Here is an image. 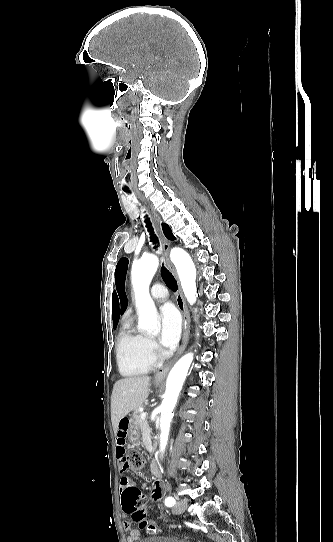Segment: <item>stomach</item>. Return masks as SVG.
Masks as SVG:
<instances>
[{"label": "stomach", "mask_w": 333, "mask_h": 542, "mask_svg": "<svg viewBox=\"0 0 333 542\" xmlns=\"http://www.w3.org/2000/svg\"><path fill=\"white\" fill-rule=\"evenodd\" d=\"M154 386H160V384H154ZM128 440H129V442H131V444H135V442H138V440H139V434H138L137 426H136L133 418H129Z\"/></svg>", "instance_id": "0dacf381"}]
</instances>
